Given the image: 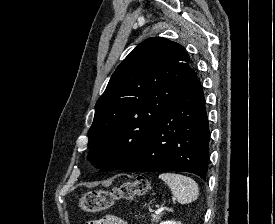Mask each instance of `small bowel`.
<instances>
[{"instance_id":"1","label":"small bowel","mask_w":275,"mask_h":224,"mask_svg":"<svg viewBox=\"0 0 275 224\" xmlns=\"http://www.w3.org/2000/svg\"><path fill=\"white\" fill-rule=\"evenodd\" d=\"M86 224H127V222L120 217L106 215L102 218L88 221Z\"/></svg>"}]
</instances>
